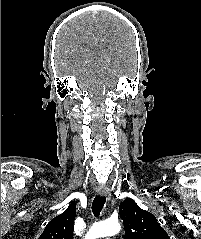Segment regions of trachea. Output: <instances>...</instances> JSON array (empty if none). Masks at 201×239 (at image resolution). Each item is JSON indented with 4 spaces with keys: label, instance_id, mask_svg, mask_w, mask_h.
<instances>
[{
    "label": "trachea",
    "instance_id": "trachea-1",
    "mask_svg": "<svg viewBox=\"0 0 201 239\" xmlns=\"http://www.w3.org/2000/svg\"><path fill=\"white\" fill-rule=\"evenodd\" d=\"M106 197L97 195L92 202V212L95 217H98L104 207Z\"/></svg>",
    "mask_w": 201,
    "mask_h": 239
}]
</instances>
